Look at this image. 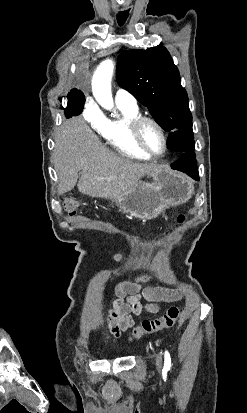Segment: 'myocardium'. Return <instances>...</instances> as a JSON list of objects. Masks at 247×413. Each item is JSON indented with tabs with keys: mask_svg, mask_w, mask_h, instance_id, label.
Returning <instances> with one entry per match:
<instances>
[{
	"mask_svg": "<svg viewBox=\"0 0 247 413\" xmlns=\"http://www.w3.org/2000/svg\"><path fill=\"white\" fill-rule=\"evenodd\" d=\"M145 124H149V125L153 126L154 128H156L161 133V135L163 137V141H164V148H163V151L160 154H157V153L149 150L142 143L141 137H140V132H141V128ZM131 135H132V140H133L135 146L140 151H142L144 154H146L149 158L161 159L167 153V150H168V147H169V140H168L167 133L164 130V128L158 122H156L155 120H153L151 118H148V117H138L135 120V122L132 126Z\"/></svg>",
	"mask_w": 247,
	"mask_h": 413,
	"instance_id": "myocardium-1",
	"label": "myocardium"
}]
</instances>
